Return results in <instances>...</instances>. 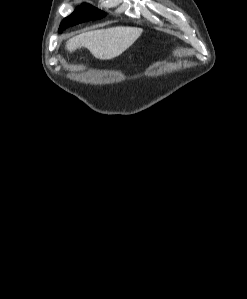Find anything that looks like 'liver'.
<instances>
[{"label": "liver", "mask_w": 247, "mask_h": 299, "mask_svg": "<svg viewBox=\"0 0 247 299\" xmlns=\"http://www.w3.org/2000/svg\"><path fill=\"white\" fill-rule=\"evenodd\" d=\"M136 27H112L92 30L70 38L66 49L70 52L85 47L100 60H110L126 51L142 34Z\"/></svg>", "instance_id": "liver-1"}]
</instances>
